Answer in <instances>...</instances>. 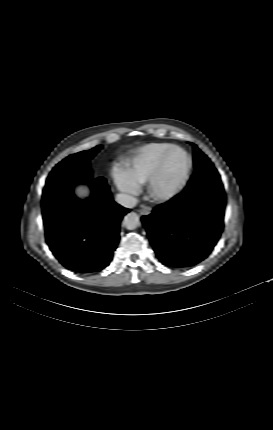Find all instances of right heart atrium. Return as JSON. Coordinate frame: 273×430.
<instances>
[{
	"instance_id": "right-heart-atrium-1",
	"label": "right heart atrium",
	"mask_w": 273,
	"mask_h": 430,
	"mask_svg": "<svg viewBox=\"0 0 273 430\" xmlns=\"http://www.w3.org/2000/svg\"><path fill=\"white\" fill-rule=\"evenodd\" d=\"M113 177L118 189L122 192L135 194L138 191V186L128 177L124 169L116 168Z\"/></svg>"
}]
</instances>
